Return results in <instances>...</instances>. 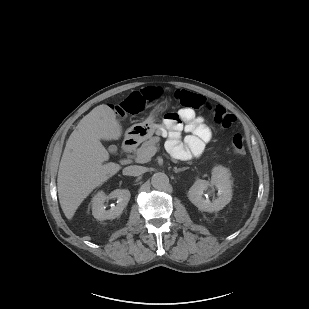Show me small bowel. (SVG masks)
<instances>
[{"label": "small bowel", "mask_w": 309, "mask_h": 309, "mask_svg": "<svg viewBox=\"0 0 309 309\" xmlns=\"http://www.w3.org/2000/svg\"><path fill=\"white\" fill-rule=\"evenodd\" d=\"M164 127L169 134L168 149L173 155L180 158L200 155L205 144L212 137L211 128L205 124L203 118L197 116L189 108L167 114L164 119ZM182 130L189 133L184 141H181L180 137Z\"/></svg>", "instance_id": "small-bowel-1"}]
</instances>
